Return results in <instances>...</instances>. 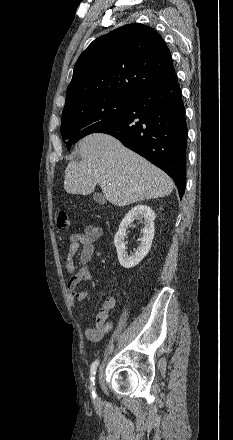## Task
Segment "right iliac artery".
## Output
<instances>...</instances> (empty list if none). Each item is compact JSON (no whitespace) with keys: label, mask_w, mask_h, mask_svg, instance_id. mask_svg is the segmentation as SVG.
<instances>
[{"label":"right iliac artery","mask_w":233,"mask_h":440,"mask_svg":"<svg viewBox=\"0 0 233 440\" xmlns=\"http://www.w3.org/2000/svg\"><path fill=\"white\" fill-rule=\"evenodd\" d=\"M99 361L96 360L92 363L91 365V369H90V380H91V391H92V396L93 398L96 397L95 391H94V379H95V374H96V370L98 367Z\"/></svg>","instance_id":"obj_1"}]
</instances>
